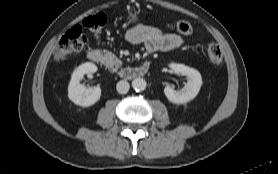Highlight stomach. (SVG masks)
Segmentation results:
<instances>
[{
	"label": "stomach",
	"mask_w": 278,
	"mask_h": 174,
	"mask_svg": "<svg viewBox=\"0 0 278 174\" xmlns=\"http://www.w3.org/2000/svg\"><path fill=\"white\" fill-rule=\"evenodd\" d=\"M139 17H140L139 13L138 12H134V13H130L128 19H129V22H136V21L139 20Z\"/></svg>",
	"instance_id": "stomach-1"
}]
</instances>
